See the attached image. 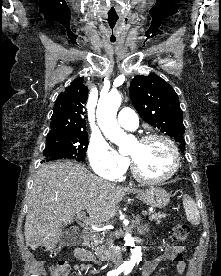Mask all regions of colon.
Here are the masks:
<instances>
[{"label":"colon","mask_w":221,"mask_h":276,"mask_svg":"<svg viewBox=\"0 0 221 276\" xmlns=\"http://www.w3.org/2000/svg\"><path fill=\"white\" fill-rule=\"evenodd\" d=\"M189 225L186 223H177L173 228V235L179 243H184L187 240L189 234ZM45 250L51 255H55L58 252V247L47 246ZM51 276H68L69 265L64 261H57L50 267Z\"/></svg>","instance_id":"5ec220e1"}]
</instances>
